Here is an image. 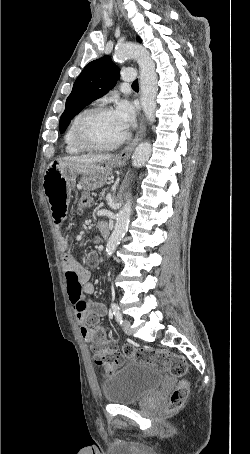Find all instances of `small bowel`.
I'll return each mask as SVG.
<instances>
[{"mask_svg": "<svg viewBox=\"0 0 250 454\" xmlns=\"http://www.w3.org/2000/svg\"><path fill=\"white\" fill-rule=\"evenodd\" d=\"M76 189V176L72 172L50 170L45 175L44 190L49 201L52 216L57 226L66 221L67 208ZM69 240L63 237L62 264L65 272L67 294L73 304L76 319L80 325V333L85 341H91V320L100 319L107 314L104 304L93 302L86 296L93 293L94 286L90 281L89 271L67 251ZM87 261L97 262V254L90 251Z\"/></svg>", "mask_w": 250, "mask_h": 454, "instance_id": "obj_1", "label": "small bowel"}]
</instances>
